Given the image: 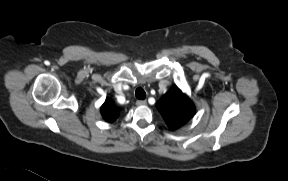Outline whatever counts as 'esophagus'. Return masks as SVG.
I'll use <instances>...</instances> for the list:
<instances>
[{
  "label": "esophagus",
  "instance_id": "esophagus-1",
  "mask_svg": "<svg viewBox=\"0 0 288 181\" xmlns=\"http://www.w3.org/2000/svg\"><path fill=\"white\" fill-rule=\"evenodd\" d=\"M136 104H137L138 106L146 105V104H147V101H146V100H137Z\"/></svg>",
  "mask_w": 288,
  "mask_h": 181
}]
</instances>
